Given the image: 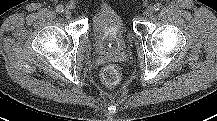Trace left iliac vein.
Segmentation results:
<instances>
[{
	"label": "left iliac vein",
	"instance_id": "1",
	"mask_svg": "<svg viewBox=\"0 0 217 121\" xmlns=\"http://www.w3.org/2000/svg\"><path fill=\"white\" fill-rule=\"evenodd\" d=\"M153 13V8L152 7H148L146 10H145V15L147 17L151 16Z\"/></svg>",
	"mask_w": 217,
	"mask_h": 121
}]
</instances>
